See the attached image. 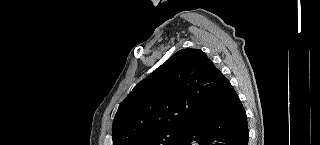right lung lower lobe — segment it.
Returning a JSON list of instances; mask_svg holds the SVG:
<instances>
[{"label":"right lung lower lobe","instance_id":"right-lung-lower-lobe-1","mask_svg":"<svg viewBox=\"0 0 320 145\" xmlns=\"http://www.w3.org/2000/svg\"><path fill=\"white\" fill-rule=\"evenodd\" d=\"M215 108L185 127L173 145H247L249 130L244 107L230 82L223 78Z\"/></svg>","mask_w":320,"mask_h":145}]
</instances>
